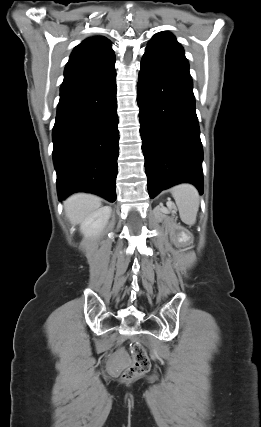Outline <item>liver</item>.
Listing matches in <instances>:
<instances>
[{"instance_id":"liver-1","label":"liver","mask_w":261,"mask_h":427,"mask_svg":"<svg viewBox=\"0 0 261 427\" xmlns=\"http://www.w3.org/2000/svg\"><path fill=\"white\" fill-rule=\"evenodd\" d=\"M101 206V199L92 194L77 193L64 201L66 216L72 224H81Z\"/></svg>"}]
</instances>
